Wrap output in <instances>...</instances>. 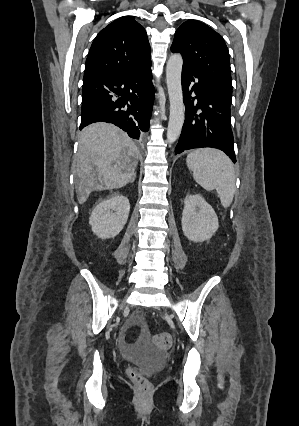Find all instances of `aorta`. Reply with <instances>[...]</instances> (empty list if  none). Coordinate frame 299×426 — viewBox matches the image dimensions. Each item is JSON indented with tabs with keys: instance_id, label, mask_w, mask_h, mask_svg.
Listing matches in <instances>:
<instances>
[{
	"instance_id": "762f6f07",
	"label": "aorta",
	"mask_w": 299,
	"mask_h": 426,
	"mask_svg": "<svg viewBox=\"0 0 299 426\" xmlns=\"http://www.w3.org/2000/svg\"><path fill=\"white\" fill-rule=\"evenodd\" d=\"M183 59L178 53L172 54L166 66V83L170 101V115L167 141L174 143L180 136L184 124V102L181 85Z\"/></svg>"
}]
</instances>
